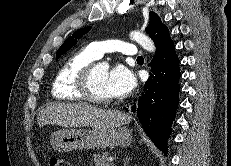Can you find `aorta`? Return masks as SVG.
Returning <instances> with one entry per match:
<instances>
[{"mask_svg":"<svg viewBox=\"0 0 231 166\" xmlns=\"http://www.w3.org/2000/svg\"><path fill=\"white\" fill-rule=\"evenodd\" d=\"M130 37L132 40L136 41L138 44L142 46L143 49L147 50L148 52H155V45L154 42L145 34L139 31H132L130 33ZM101 67L108 69L109 64L107 62H103L100 64Z\"/></svg>","mask_w":231,"mask_h":166,"instance_id":"obj_1","label":"aorta"}]
</instances>
